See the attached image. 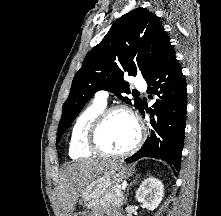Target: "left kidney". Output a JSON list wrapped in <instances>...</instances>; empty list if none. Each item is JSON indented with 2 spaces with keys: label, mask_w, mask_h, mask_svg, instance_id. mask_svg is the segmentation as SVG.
Segmentation results:
<instances>
[{
  "label": "left kidney",
  "mask_w": 221,
  "mask_h": 216,
  "mask_svg": "<svg viewBox=\"0 0 221 216\" xmlns=\"http://www.w3.org/2000/svg\"><path fill=\"white\" fill-rule=\"evenodd\" d=\"M164 195V187L161 181L155 177L145 179L136 191V199L148 210H155L161 203Z\"/></svg>",
  "instance_id": "1"
}]
</instances>
